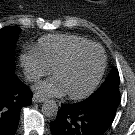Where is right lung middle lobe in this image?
<instances>
[{"mask_svg": "<svg viewBox=\"0 0 135 135\" xmlns=\"http://www.w3.org/2000/svg\"><path fill=\"white\" fill-rule=\"evenodd\" d=\"M20 31L14 26L0 29V73H12L15 68V47Z\"/></svg>", "mask_w": 135, "mask_h": 135, "instance_id": "right-lung-middle-lobe-1", "label": "right lung middle lobe"}]
</instances>
